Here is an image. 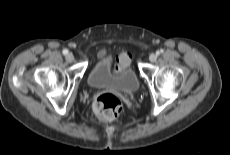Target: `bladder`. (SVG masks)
<instances>
[{
	"label": "bladder",
	"mask_w": 230,
	"mask_h": 155,
	"mask_svg": "<svg viewBox=\"0 0 230 155\" xmlns=\"http://www.w3.org/2000/svg\"><path fill=\"white\" fill-rule=\"evenodd\" d=\"M112 58L103 56L88 73V84L96 89H114L120 93L132 94L138 91L140 82L131 68L114 71Z\"/></svg>",
	"instance_id": "bladder-1"
}]
</instances>
